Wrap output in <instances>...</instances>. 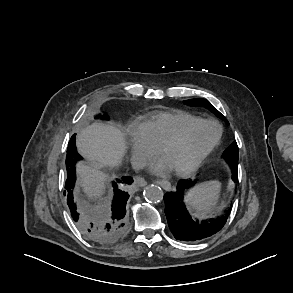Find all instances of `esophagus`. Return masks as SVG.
<instances>
[{
    "mask_svg": "<svg viewBox=\"0 0 293 293\" xmlns=\"http://www.w3.org/2000/svg\"><path fill=\"white\" fill-rule=\"evenodd\" d=\"M136 181H137V183H138V185L140 186V187H143V186H145L146 184H147V182L144 180V178H142V177H136ZM157 184H159V185H162V186H165V187H167V186H169L170 185V183L168 182V181H165V180H157V181H155Z\"/></svg>",
    "mask_w": 293,
    "mask_h": 293,
    "instance_id": "1",
    "label": "esophagus"
}]
</instances>
